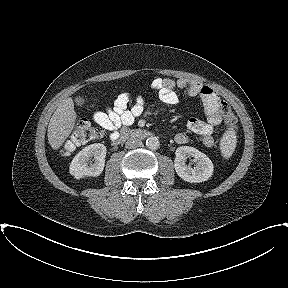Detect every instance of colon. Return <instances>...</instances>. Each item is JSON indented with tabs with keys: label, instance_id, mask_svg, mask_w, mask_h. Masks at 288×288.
<instances>
[{
	"label": "colon",
	"instance_id": "5ec220e1",
	"mask_svg": "<svg viewBox=\"0 0 288 288\" xmlns=\"http://www.w3.org/2000/svg\"><path fill=\"white\" fill-rule=\"evenodd\" d=\"M219 111L224 118L225 124L229 129H236V119L226 102L221 101ZM103 136V130L92 125L88 120H79L64 144V152L69 153L77 146L99 139Z\"/></svg>",
	"mask_w": 288,
	"mask_h": 288
}]
</instances>
